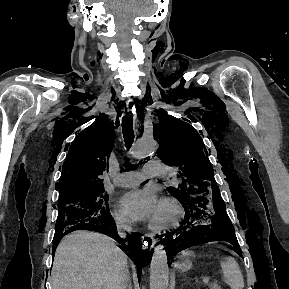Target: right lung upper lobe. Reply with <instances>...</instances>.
Here are the masks:
<instances>
[{
    "instance_id": "cb5924a9",
    "label": "right lung upper lobe",
    "mask_w": 289,
    "mask_h": 289,
    "mask_svg": "<svg viewBox=\"0 0 289 289\" xmlns=\"http://www.w3.org/2000/svg\"><path fill=\"white\" fill-rule=\"evenodd\" d=\"M113 125L106 115L83 130L71 144L62 168L59 197L103 188L100 175L108 169V158L114 144Z\"/></svg>"
}]
</instances>
